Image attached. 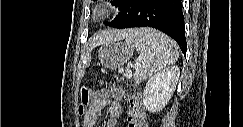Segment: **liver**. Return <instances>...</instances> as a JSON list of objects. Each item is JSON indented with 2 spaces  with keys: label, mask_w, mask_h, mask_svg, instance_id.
Wrapping results in <instances>:
<instances>
[{
  "label": "liver",
  "mask_w": 243,
  "mask_h": 127,
  "mask_svg": "<svg viewBox=\"0 0 243 127\" xmlns=\"http://www.w3.org/2000/svg\"><path fill=\"white\" fill-rule=\"evenodd\" d=\"M134 30H108L95 34L89 41V48L121 40L131 35Z\"/></svg>",
  "instance_id": "1"
}]
</instances>
